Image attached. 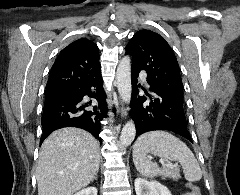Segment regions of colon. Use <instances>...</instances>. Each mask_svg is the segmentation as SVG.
<instances>
[{"label":"colon","instance_id":"1","mask_svg":"<svg viewBox=\"0 0 240 195\" xmlns=\"http://www.w3.org/2000/svg\"><path fill=\"white\" fill-rule=\"evenodd\" d=\"M186 191L190 192V195H201L202 191L201 190H196L194 186L187 185L186 186Z\"/></svg>","mask_w":240,"mask_h":195}]
</instances>
